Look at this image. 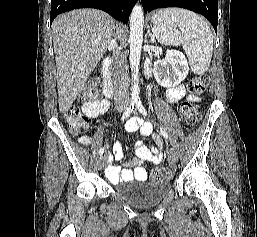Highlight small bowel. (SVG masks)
<instances>
[{"instance_id":"c3829d8e","label":"small bowel","mask_w":257,"mask_h":237,"mask_svg":"<svg viewBox=\"0 0 257 237\" xmlns=\"http://www.w3.org/2000/svg\"><path fill=\"white\" fill-rule=\"evenodd\" d=\"M196 100L194 96H187L184 86H178L170 88L167 91V100L169 102H180L183 100ZM109 107V102L105 99L95 100L92 102H86L83 105L84 113L90 117L95 118L100 114L107 111ZM126 129L130 132H134L140 129L143 135H149L152 132V126L148 123H143L142 120L132 118L126 123ZM82 144H89V137H82L80 139ZM157 144L161 143L159 138H155ZM123 157V150L119 143H115L113 146L112 153L107 156L110 164L106 168V175L109 180L117 184L123 180H145L147 178L146 167L148 164H158L163 157V152L156 147H148L145 144L138 142L136 143L135 156L131 163H127L124 168L112 165L113 160H121ZM133 164L136 167L134 169L130 168Z\"/></svg>"}]
</instances>
